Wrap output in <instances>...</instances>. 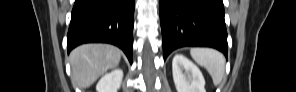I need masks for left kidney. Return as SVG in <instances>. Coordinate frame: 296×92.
Returning a JSON list of instances; mask_svg holds the SVG:
<instances>
[{
	"instance_id": "1",
	"label": "left kidney",
	"mask_w": 296,
	"mask_h": 92,
	"mask_svg": "<svg viewBox=\"0 0 296 92\" xmlns=\"http://www.w3.org/2000/svg\"><path fill=\"white\" fill-rule=\"evenodd\" d=\"M172 73L177 92H206L200 69L183 55L173 57Z\"/></svg>"
}]
</instances>
